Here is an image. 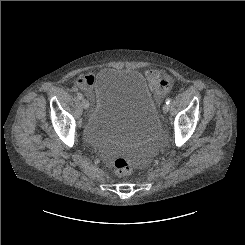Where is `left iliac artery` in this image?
I'll return each mask as SVG.
<instances>
[{"instance_id":"44dca946","label":"left iliac artery","mask_w":245,"mask_h":245,"mask_svg":"<svg viewBox=\"0 0 245 245\" xmlns=\"http://www.w3.org/2000/svg\"><path fill=\"white\" fill-rule=\"evenodd\" d=\"M171 103V98H167L166 99V104H170Z\"/></svg>"}]
</instances>
